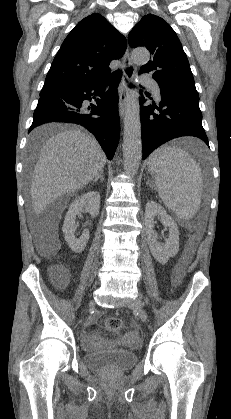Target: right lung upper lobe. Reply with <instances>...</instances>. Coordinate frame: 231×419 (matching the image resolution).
<instances>
[{
    "label": "right lung upper lobe",
    "mask_w": 231,
    "mask_h": 419,
    "mask_svg": "<svg viewBox=\"0 0 231 419\" xmlns=\"http://www.w3.org/2000/svg\"><path fill=\"white\" fill-rule=\"evenodd\" d=\"M125 37L104 17L93 13L68 34L56 54L43 87H70L105 79L114 59L123 56Z\"/></svg>",
    "instance_id": "obj_1"
}]
</instances>
